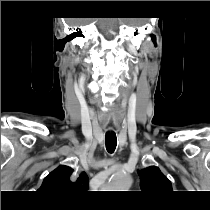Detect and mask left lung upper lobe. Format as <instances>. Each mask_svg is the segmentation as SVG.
<instances>
[{"instance_id": "1", "label": "left lung upper lobe", "mask_w": 210, "mask_h": 210, "mask_svg": "<svg viewBox=\"0 0 210 210\" xmlns=\"http://www.w3.org/2000/svg\"><path fill=\"white\" fill-rule=\"evenodd\" d=\"M141 179V189L144 193H164L172 191L169 179L158 167L150 166L138 171Z\"/></svg>"}]
</instances>
